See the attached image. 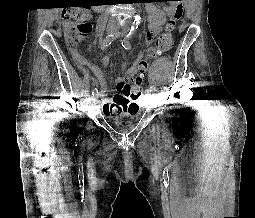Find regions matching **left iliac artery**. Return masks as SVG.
<instances>
[{"label": "left iliac artery", "instance_id": "44dca946", "mask_svg": "<svg viewBox=\"0 0 255 218\" xmlns=\"http://www.w3.org/2000/svg\"><path fill=\"white\" fill-rule=\"evenodd\" d=\"M133 35V32H129L122 41V46L124 49L128 50L131 48L130 39ZM147 93L150 94V89H147Z\"/></svg>", "mask_w": 255, "mask_h": 218}]
</instances>
